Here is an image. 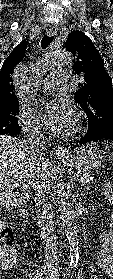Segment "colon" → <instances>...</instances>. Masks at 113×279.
<instances>
[{
  "label": "colon",
  "instance_id": "obj_1",
  "mask_svg": "<svg viewBox=\"0 0 113 279\" xmlns=\"http://www.w3.org/2000/svg\"><path fill=\"white\" fill-rule=\"evenodd\" d=\"M14 258V251L12 244L8 240L7 224L0 219V267L5 260H12Z\"/></svg>",
  "mask_w": 113,
  "mask_h": 279
}]
</instances>
